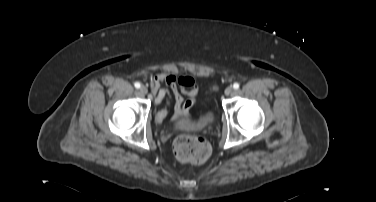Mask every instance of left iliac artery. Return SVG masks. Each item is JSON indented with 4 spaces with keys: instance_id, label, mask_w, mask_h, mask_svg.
Segmentation results:
<instances>
[{
    "instance_id": "44dca946",
    "label": "left iliac artery",
    "mask_w": 376,
    "mask_h": 202,
    "mask_svg": "<svg viewBox=\"0 0 376 202\" xmlns=\"http://www.w3.org/2000/svg\"><path fill=\"white\" fill-rule=\"evenodd\" d=\"M239 86H240L239 83H234V84H233V88H234V89H238Z\"/></svg>"
}]
</instances>
